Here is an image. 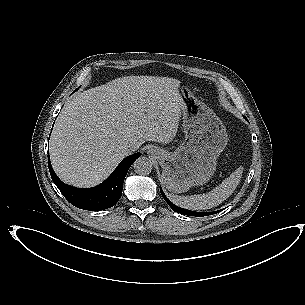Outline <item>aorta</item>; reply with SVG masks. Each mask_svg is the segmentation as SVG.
<instances>
[{
    "label": "aorta",
    "instance_id": "obj_1",
    "mask_svg": "<svg viewBox=\"0 0 305 305\" xmlns=\"http://www.w3.org/2000/svg\"><path fill=\"white\" fill-rule=\"evenodd\" d=\"M134 171L140 175H146L151 173L153 169L152 162L149 158L141 156L133 163Z\"/></svg>",
    "mask_w": 305,
    "mask_h": 305
}]
</instances>
